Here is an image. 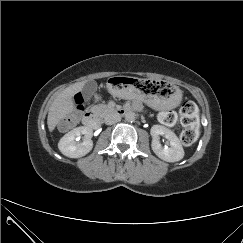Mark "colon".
Returning <instances> with one entry per match:
<instances>
[{
  "mask_svg": "<svg viewBox=\"0 0 243 243\" xmlns=\"http://www.w3.org/2000/svg\"><path fill=\"white\" fill-rule=\"evenodd\" d=\"M76 103L82 104V98L77 97ZM160 121L167 126H171L176 122V115L173 111H164L160 114ZM198 108L195 103L185 102L180 109V120L183 125V130L180 134L182 144L189 146L193 144L197 138L198 128ZM77 120V112L73 111L68 114L61 122L60 128L63 130L72 127Z\"/></svg>",
  "mask_w": 243,
  "mask_h": 243,
  "instance_id": "5ec220e1",
  "label": "colon"
}]
</instances>
